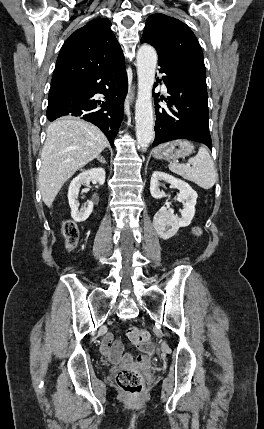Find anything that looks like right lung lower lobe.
Here are the masks:
<instances>
[{
    "instance_id": "obj_1",
    "label": "right lung lower lobe",
    "mask_w": 264,
    "mask_h": 429,
    "mask_svg": "<svg viewBox=\"0 0 264 429\" xmlns=\"http://www.w3.org/2000/svg\"><path fill=\"white\" fill-rule=\"evenodd\" d=\"M128 90L124 55L114 60L90 77L66 86L49 98L47 118L53 121L61 116L72 115L98 126L113 141L123 117V104ZM96 93L105 95V101H97Z\"/></svg>"
}]
</instances>
